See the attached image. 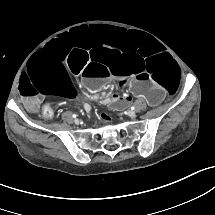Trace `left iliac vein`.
Here are the masks:
<instances>
[{
    "label": "left iliac vein",
    "instance_id": "4c4485c4",
    "mask_svg": "<svg viewBox=\"0 0 215 215\" xmlns=\"http://www.w3.org/2000/svg\"><path fill=\"white\" fill-rule=\"evenodd\" d=\"M127 115L131 118H134L136 116V113L133 110H129V111H127Z\"/></svg>",
    "mask_w": 215,
    "mask_h": 215
}]
</instances>
